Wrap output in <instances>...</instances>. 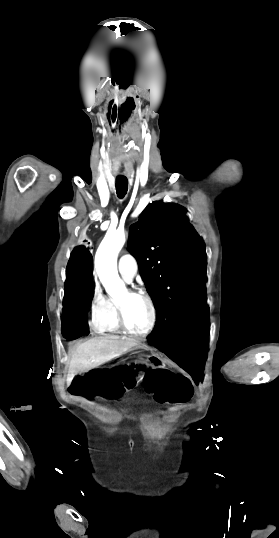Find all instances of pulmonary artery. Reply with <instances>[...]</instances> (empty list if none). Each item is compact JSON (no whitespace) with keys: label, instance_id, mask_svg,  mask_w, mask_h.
<instances>
[{"label":"pulmonary artery","instance_id":"pulmonary-artery-1","mask_svg":"<svg viewBox=\"0 0 279 538\" xmlns=\"http://www.w3.org/2000/svg\"><path fill=\"white\" fill-rule=\"evenodd\" d=\"M118 271L127 281L132 280L137 272V265L130 255H122L117 263Z\"/></svg>","mask_w":279,"mask_h":538}]
</instances>
